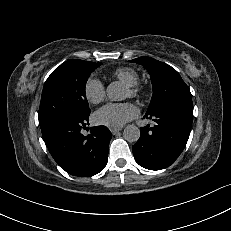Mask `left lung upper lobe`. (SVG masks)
<instances>
[{"label":"left lung upper lobe","instance_id":"left-lung-upper-lobe-1","mask_svg":"<svg viewBox=\"0 0 231 231\" xmlns=\"http://www.w3.org/2000/svg\"><path fill=\"white\" fill-rule=\"evenodd\" d=\"M130 62L141 64L150 74L153 95L147 112L157 109L170 100H192L189 87L179 73L168 64L150 57H140Z\"/></svg>","mask_w":231,"mask_h":231}]
</instances>
